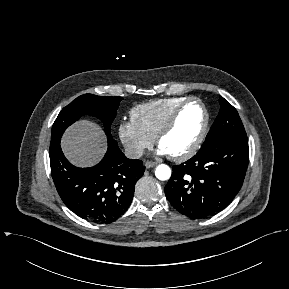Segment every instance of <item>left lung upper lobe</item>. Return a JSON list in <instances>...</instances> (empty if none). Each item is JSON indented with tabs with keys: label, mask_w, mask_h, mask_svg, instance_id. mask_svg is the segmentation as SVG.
<instances>
[{
	"label": "left lung upper lobe",
	"mask_w": 289,
	"mask_h": 289,
	"mask_svg": "<svg viewBox=\"0 0 289 289\" xmlns=\"http://www.w3.org/2000/svg\"><path fill=\"white\" fill-rule=\"evenodd\" d=\"M219 102V114L209 133L207 134L205 142L201 148L209 144L214 139L222 136L247 138L244 126L237 110L223 97H220Z\"/></svg>",
	"instance_id": "1"
}]
</instances>
